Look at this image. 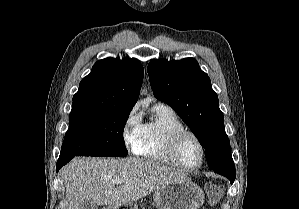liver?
<instances>
[{
    "instance_id": "1",
    "label": "liver",
    "mask_w": 299,
    "mask_h": 209,
    "mask_svg": "<svg viewBox=\"0 0 299 209\" xmlns=\"http://www.w3.org/2000/svg\"><path fill=\"white\" fill-rule=\"evenodd\" d=\"M69 202L67 209H81L85 200L101 206H122L144 198L157 188L187 178L183 171L153 160L73 159L61 172ZM116 180H122L119 185Z\"/></svg>"
}]
</instances>
